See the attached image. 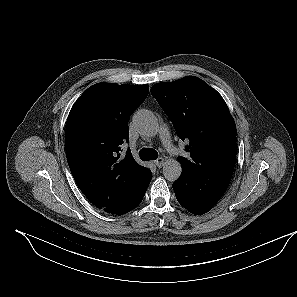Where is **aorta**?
<instances>
[{"label": "aorta", "mask_w": 297, "mask_h": 297, "mask_svg": "<svg viewBox=\"0 0 297 297\" xmlns=\"http://www.w3.org/2000/svg\"><path fill=\"white\" fill-rule=\"evenodd\" d=\"M133 124L138 132L145 136H153L157 133L158 122L154 114L148 110H138L133 115ZM182 172L181 164L176 159H168L163 165V175L168 181H176Z\"/></svg>", "instance_id": "762f6f07"}]
</instances>
